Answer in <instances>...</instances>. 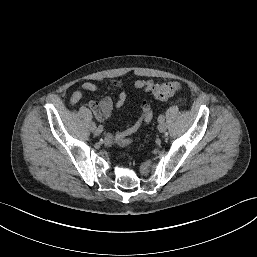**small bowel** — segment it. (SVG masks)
I'll list each match as a JSON object with an SVG mask.
<instances>
[{
  "label": "small bowel",
  "mask_w": 257,
  "mask_h": 257,
  "mask_svg": "<svg viewBox=\"0 0 257 257\" xmlns=\"http://www.w3.org/2000/svg\"><path fill=\"white\" fill-rule=\"evenodd\" d=\"M111 84L114 87H121L123 84L119 81H112ZM155 82L152 79H139L136 80L132 87L136 90H143L150 92L153 90ZM99 90L97 84L93 82L83 83L76 91H74L70 97L71 105L77 104L85 93L97 92ZM126 93L124 91L119 92L115 100V106L120 108L126 101ZM89 108L95 114L96 118L100 122L107 121L112 113L114 106V100L110 96L104 97L100 102L90 101L88 104ZM141 114L139 118L131 125L127 126L124 130L119 131L115 134L108 133L105 136V142L108 145L117 144L119 146H125L134 141L132 137L142 125L148 124L153 117L152 109L149 103L142 102L140 105Z\"/></svg>",
  "instance_id": "c3829d8e"
}]
</instances>
